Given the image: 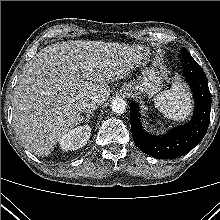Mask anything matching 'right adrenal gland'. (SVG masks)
<instances>
[{
  "instance_id": "1",
  "label": "right adrenal gland",
  "mask_w": 220,
  "mask_h": 220,
  "mask_svg": "<svg viewBox=\"0 0 220 220\" xmlns=\"http://www.w3.org/2000/svg\"><path fill=\"white\" fill-rule=\"evenodd\" d=\"M93 113L90 112L89 114H87L85 117L82 118V122H85V121H89L92 117H93Z\"/></svg>"
}]
</instances>
